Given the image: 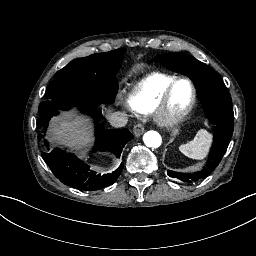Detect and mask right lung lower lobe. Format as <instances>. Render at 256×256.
I'll use <instances>...</instances> for the list:
<instances>
[{"label": "right lung lower lobe", "mask_w": 256, "mask_h": 256, "mask_svg": "<svg viewBox=\"0 0 256 256\" xmlns=\"http://www.w3.org/2000/svg\"><path fill=\"white\" fill-rule=\"evenodd\" d=\"M79 106L84 112L94 115L97 111V104H75ZM70 108V105L65 107L64 110ZM58 112H50L37 121L38 128H42L43 132L48 125L49 119ZM42 134L38 135L41 140ZM96 144L95 149L100 151H111L117 157H120L121 150L124 145L133 139V135L125 129L105 130L102 125L96 126ZM45 149L42 152V157L46 164L50 167L53 174L64 184L72 186L80 190H95L101 189L113 184L123 170V163L119 168L111 174H96L90 171L89 166L83 161L79 160L76 156L66 153L61 149H48L45 140Z\"/></svg>", "instance_id": "obj_1"}]
</instances>
